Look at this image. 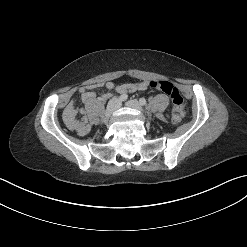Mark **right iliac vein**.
Segmentation results:
<instances>
[{
  "label": "right iliac vein",
  "instance_id": "right-iliac-vein-1",
  "mask_svg": "<svg viewBox=\"0 0 247 247\" xmlns=\"http://www.w3.org/2000/svg\"><path fill=\"white\" fill-rule=\"evenodd\" d=\"M120 101L118 98H113L109 101L107 108L102 117V122L107 123L112 114L119 108Z\"/></svg>",
  "mask_w": 247,
  "mask_h": 247
}]
</instances>
